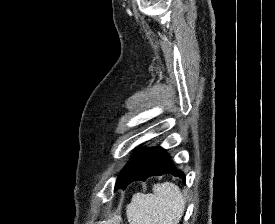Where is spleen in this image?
Wrapping results in <instances>:
<instances>
[{
  "instance_id": "1",
  "label": "spleen",
  "mask_w": 275,
  "mask_h": 224,
  "mask_svg": "<svg viewBox=\"0 0 275 224\" xmlns=\"http://www.w3.org/2000/svg\"><path fill=\"white\" fill-rule=\"evenodd\" d=\"M185 209V198L171 182L153 186V193H136L127 205L129 224H178Z\"/></svg>"
}]
</instances>
